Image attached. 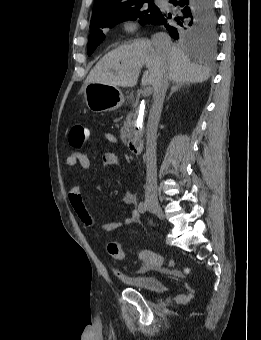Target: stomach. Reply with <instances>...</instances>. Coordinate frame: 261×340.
Masks as SVG:
<instances>
[{
	"instance_id": "1",
	"label": "stomach",
	"mask_w": 261,
	"mask_h": 340,
	"mask_svg": "<svg viewBox=\"0 0 261 340\" xmlns=\"http://www.w3.org/2000/svg\"><path fill=\"white\" fill-rule=\"evenodd\" d=\"M84 97L87 107L95 113L114 111L124 102V95L118 87L101 83L86 84Z\"/></svg>"
}]
</instances>
